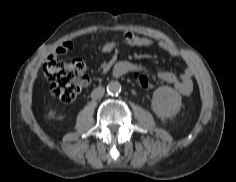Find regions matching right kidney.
Instances as JSON below:
<instances>
[{
	"instance_id": "right-kidney-1",
	"label": "right kidney",
	"mask_w": 236,
	"mask_h": 182,
	"mask_svg": "<svg viewBox=\"0 0 236 182\" xmlns=\"http://www.w3.org/2000/svg\"><path fill=\"white\" fill-rule=\"evenodd\" d=\"M49 119H52V118H54L55 117V112L54 111H50L49 113H48V116H47Z\"/></svg>"
}]
</instances>
